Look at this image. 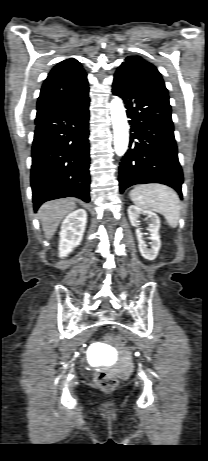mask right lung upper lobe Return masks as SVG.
Returning a JSON list of instances; mask_svg holds the SVG:
<instances>
[{
    "label": "right lung upper lobe",
    "mask_w": 208,
    "mask_h": 461,
    "mask_svg": "<svg viewBox=\"0 0 208 461\" xmlns=\"http://www.w3.org/2000/svg\"><path fill=\"white\" fill-rule=\"evenodd\" d=\"M89 91L87 74L74 58L55 65L45 79L37 102V115L75 103Z\"/></svg>",
    "instance_id": "obj_1"
}]
</instances>
